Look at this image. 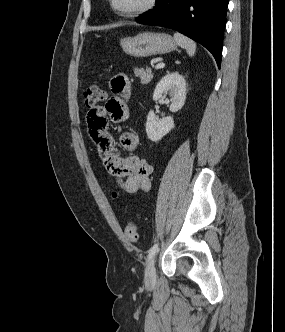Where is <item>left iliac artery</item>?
<instances>
[{
    "label": "left iliac artery",
    "mask_w": 285,
    "mask_h": 332,
    "mask_svg": "<svg viewBox=\"0 0 285 332\" xmlns=\"http://www.w3.org/2000/svg\"><path fill=\"white\" fill-rule=\"evenodd\" d=\"M158 243H155L150 250L148 251V256H147V261H150L153 256L155 255V253L158 251Z\"/></svg>",
    "instance_id": "44dca946"
}]
</instances>
